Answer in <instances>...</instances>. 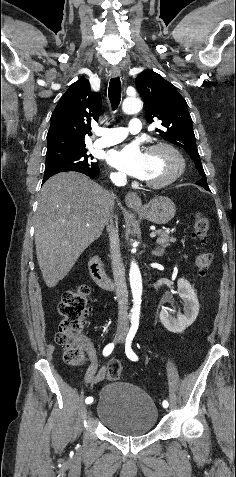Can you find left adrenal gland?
Wrapping results in <instances>:
<instances>
[{"label":"left adrenal gland","instance_id":"1","mask_svg":"<svg viewBox=\"0 0 236 477\" xmlns=\"http://www.w3.org/2000/svg\"><path fill=\"white\" fill-rule=\"evenodd\" d=\"M152 254L155 255V256H162L163 249L152 251Z\"/></svg>","mask_w":236,"mask_h":477}]
</instances>
